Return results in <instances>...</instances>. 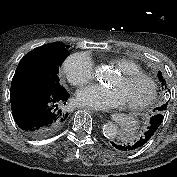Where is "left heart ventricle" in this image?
Masks as SVG:
<instances>
[{
    "instance_id": "1",
    "label": "left heart ventricle",
    "mask_w": 177,
    "mask_h": 177,
    "mask_svg": "<svg viewBox=\"0 0 177 177\" xmlns=\"http://www.w3.org/2000/svg\"><path fill=\"white\" fill-rule=\"evenodd\" d=\"M110 86L120 92L125 104L141 101L149 93V85L145 81H125L120 76H117Z\"/></svg>"
}]
</instances>
